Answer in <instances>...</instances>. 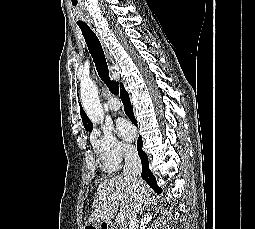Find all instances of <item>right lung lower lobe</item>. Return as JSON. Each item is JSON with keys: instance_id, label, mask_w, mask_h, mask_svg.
<instances>
[{"instance_id": "98d812e1", "label": "right lung lower lobe", "mask_w": 255, "mask_h": 229, "mask_svg": "<svg viewBox=\"0 0 255 229\" xmlns=\"http://www.w3.org/2000/svg\"><path fill=\"white\" fill-rule=\"evenodd\" d=\"M120 96H121L122 102L124 104V109H125L126 115L130 118V120L135 125H137L136 120L134 119V116H133V112H132L133 107L129 101L128 93L124 89L123 86L120 88ZM142 145H143L142 138H141V136H139L138 141H137V150H138V154L141 159V162H142L141 176L151 186V188L156 193L160 194L162 192V189L157 185L156 179L149 169L148 157H147L146 153L142 150Z\"/></svg>"}]
</instances>
